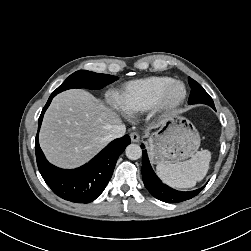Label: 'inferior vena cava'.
I'll list each match as a JSON object with an SVG mask.
<instances>
[{
  "label": "inferior vena cava",
  "instance_id": "1",
  "mask_svg": "<svg viewBox=\"0 0 251 251\" xmlns=\"http://www.w3.org/2000/svg\"><path fill=\"white\" fill-rule=\"evenodd\" d=\"M126 132V127L124 124H117L115 125L112 130L109 132V134L107 135L106 139L108 141L119 138L121 136H123Z\"/></svg>",
  "mask_w": 251,
  "mask_h": 251
}]
</instances>
